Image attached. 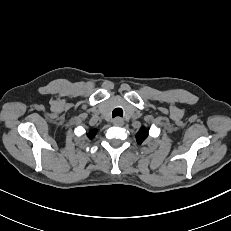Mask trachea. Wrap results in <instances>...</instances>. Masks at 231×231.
Listing matches in <instances>:
<instances>
[{"label":"trachea","mask_w":231,"mask_h":231,"mask_svg":"<svg viewBox=\"0 0 231 231\" xmlns=\"http://www.w3.org/2000/svg\"><path fill=\"white\" fill-rule=\"evenodd\" d=\"M117 116H119V117L123 116V110L121 108H116V109L113 110L112 117L114 118V117H117Z\"/></svg>","instance_id":"1"}]
</instances>
